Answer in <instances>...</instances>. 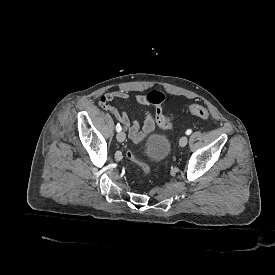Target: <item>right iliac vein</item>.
<instances>
[{
  "label": "right iliac vein",
  "instance_id": "63e3f726",
  "mask_svg": "<svg viewBox=\"0 0 275 275\" xmlns=\"http://www.w3.org/2000/svg\"><path fill=\"white\" fill-rule=\"evenodd\" d=\"M125 139H126L125 133L122 132V131L118 132V134H117V140H118L119 142H124Z\"/></svg>",
  "mask_w": 275,
  "mask_h": 275
}]
</instances>
